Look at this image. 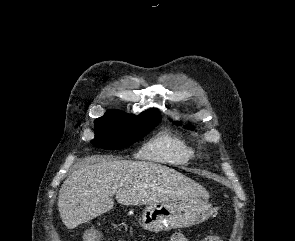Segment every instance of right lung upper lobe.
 Returning <instances> with one entry per match:
<instances>
[{
	"instance_id": "right-lung-upper-lobe-1",
	"label": "right lung upper lobe",
	"mask_w": 295,
	"mask_h": 241,
	"mask_svg": "<svg viewBox=\"0 0 295 241\" xmlns=\"http://www.w3.org/2000/svg\"><path fill=\"white\" fill-rule=\"evenodd\" d=\"M144 113L161 118L159 111L157 109H149V110L145 111Z\"/></svg>"
}]
</instances>
